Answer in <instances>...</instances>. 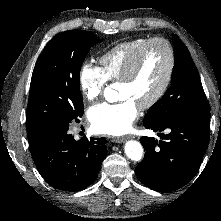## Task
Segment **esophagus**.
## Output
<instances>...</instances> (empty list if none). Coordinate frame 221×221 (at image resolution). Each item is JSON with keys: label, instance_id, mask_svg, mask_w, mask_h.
<instances>
[{"label": "esophagus", "instance_id": "esophagus-1", "mask_svg": "<svg viewBox=\"0 0 221 221\" xmlns=\"http://www.w3.org/2000/svg\"><path fill=\"white\" fill-rule=\"evenodd\" d=\"M131 138L130 136H126V137H114L113 138V142L115 143H123L125 142L127 139Z\"/></svg>", "mask_w": 221, "mask_h": 221}]
</instances>
